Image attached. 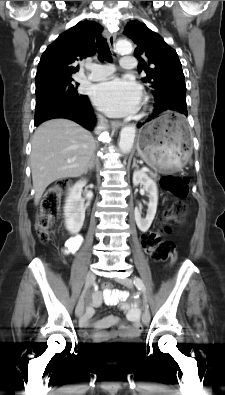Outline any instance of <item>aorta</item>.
I'll return each mask as SVG.
<instances>
[{"label":"aorta","mask_w":225,"mask_h":395,"mask_svg":"<svg viewBox=\"0 0 225 395\" xmlns=\"http://www.w3.org/2000/svg\"><path fill=\"white\" fill-rule=\"evenodd\" d=\"M116 52L120 54H131L133 52L132 44L126 39H120L116 43ZM136 134L135 126H125L120 132L119 148L124 153H129L133 147Z\"/></svg>","instance_id":"obj_1"}]
</instances>
